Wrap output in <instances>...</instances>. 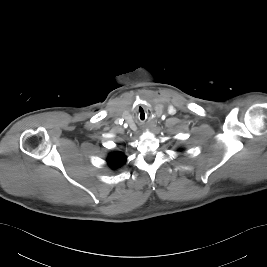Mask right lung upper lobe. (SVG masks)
Masks as SVG:
<instances>
[{"mask_svg": "<svg viewBox=\"0 0 267 267\" xmlns=\"http://www.w3.org/2000/svg\"><path fill=\"white\" fill-rule=\"evenodd\" d=\"M127 157L122 152H112L107 157V164L113 170L120 168L125 164Z\"/></svg>", "mask_w": 267, "mask_h": 267, "instance_id": "1", "label": "right lung upper lobe"}]
</instances>
